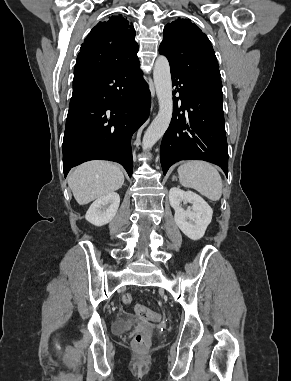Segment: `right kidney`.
<instances>
[{
	"label": "right kidney",
	"mask_w": 291,
	"mask_h": 381,
	"mask_svg": "<svg viewBox=\"0 0 291 381\" xmlns=\"http://www.w3.org/2000/svg\"><path fill=\"white\" fill-rule=\"evenodd\" d=\"M120 204L119 194L113 192L96 199L89 207L85 219L95 226H103L112 221Z\"/></svg>",
	"instance_id": "obj_1"
}]
</instances>
